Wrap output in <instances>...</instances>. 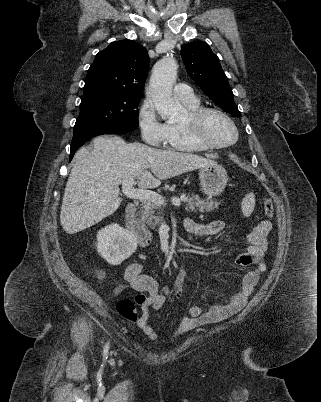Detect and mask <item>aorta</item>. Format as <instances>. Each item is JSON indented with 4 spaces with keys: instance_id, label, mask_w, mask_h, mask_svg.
<instances>
[{
    "instance_id": "obj_1",
    "label": "aorta",
    "mask_w": 321,
    "mask_h": 402,
    "mask_svg": "<svg viewBox=\"0 0 321 402\" xmlns=\"http://www.w3.org/2000/svg\"><path fill=\"white\" fill-rule=\"evenodd\" d=\"M177 62L173 55L160 59L153 67L148 94L163 119L173 118L183 111L182 105L172 96V86L177 77Z\"/></svg>"
}]
</instances>
